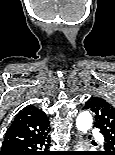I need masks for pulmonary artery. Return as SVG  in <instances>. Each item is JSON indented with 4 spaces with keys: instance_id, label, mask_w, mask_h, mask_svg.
Returning <instances> with one entry per match:
<instances>
[{
    "instance_id": "obj_1",
    "label": "pulmonary artery",
    "mask_w": 115,
    "mask_h": 155,
    "mask_svg": "<svg viewBox=\"0 0 115 155\" xmlns=\"http://www.w3.org/2000/svg\"><path fill=\"white\" fill-rule=\"evenodd\" d=\"M95 136L99 138V134L96 133ZM100 141H102V140H100Z\"/></svg>"
}]
</instances>
